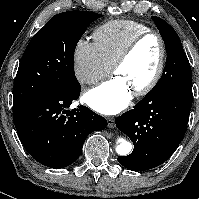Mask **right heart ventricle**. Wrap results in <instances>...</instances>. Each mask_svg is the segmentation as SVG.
Wrapping results in <instances>:
<instances>
[{
  "instance_id": "right-heart-ventricle-1",
  "label": "right heart ventricle",
  "mask_w": 199,
  "mask_h": 199,
  "mask_svg": "<svg viewBox=\"0 0 199 199\" xmlns=\"http://www.w3.org/2000/svg\"><path fill=\"white\" fill-rule=\"evenodd\" d=\"M148 30L145 24L137 21L114 20L99 26L93 32V38L104 59L112 66L128 43Z\"/></svg>"
}]
</instances>
